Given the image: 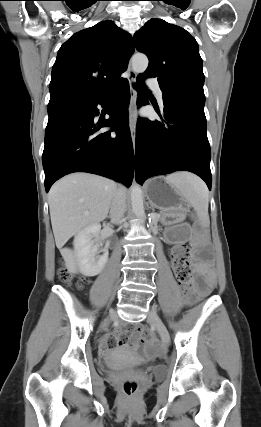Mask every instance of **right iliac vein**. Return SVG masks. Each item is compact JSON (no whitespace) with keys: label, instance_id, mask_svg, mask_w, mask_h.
I'll return each mask as SVG.
<instances>
[{"label":"right iliac vein","instance_id":"63e3f726","mask_svg":"<svg viewBox=\"0 0 261 427\" xmlns=\"http://www.w3.org/2000/svg\"><path fill=\"white\" fill-rule=\"evenodd\" d=\"M114 315H115V312H112V313H111V317H113ZM107 324H108V320H107V321H105V323L103 324V327L107 326Z\"/></svg>","mask_w":261,"mask_h":427}]
</instances>
